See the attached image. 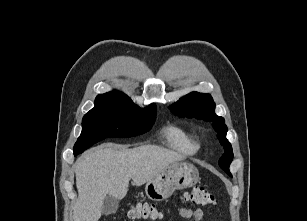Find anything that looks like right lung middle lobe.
Listing matches in <instances>:
<instances>
[{"mask_svg":"<svg viewBox=\"0 0 307 221\" xmlns=\"http://www.w3.org/2000/svg\"><path fill=\"white\" fill-rule=\"evenodd\" d=\"M156 110L155 104L141 109L134 103H95V107L83 117L82 133L74 145V155L105 138L133 137L144 133L155 121Z\"/></svg>","mask_w":307,"mask_h":221,"instance_id":"dd1d6c3e","label":"right lung middle lobe"}]
</instances>
